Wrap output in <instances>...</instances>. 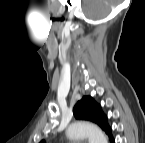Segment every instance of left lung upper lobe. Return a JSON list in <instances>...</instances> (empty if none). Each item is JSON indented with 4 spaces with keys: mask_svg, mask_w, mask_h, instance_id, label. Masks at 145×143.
I'll return each instance as SVG.
<instances>
[{
    "mask_svg": "<svg viewBox=\"0 0 145 143\" xmlns=\"http://www.w3.org/2000/svg\"><path fill=\"white\" fill-rule=\"evenodd\" d=\"M73 113L76 119L88 120L98 124L109 137H112L111 129L107 124V117L102 112L100 105H98L92 97L84 96L78 101L74 107Z\"/></svg>",
    "mask_w": 145,
    "mask_h": 143,
    "instance_id": "left-lung-upper-lobe-1",
    "label": "left lung upper lobe"
}]
</instances>
